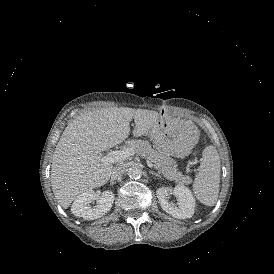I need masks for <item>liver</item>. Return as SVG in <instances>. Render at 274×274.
<instances>
[{
  "label": "liver",
  "instance_id": "obj_1",
  "mask_svg": "<svg viewBox=\"0 0 274 274\" xmlns=\"http://www.w3.org/2000/svg\"><path fill=\"white\" fill-rule=\"evenodd\" d=\"M132 119L133 136L140 137L155 129L160 115L152 110L109 107L82 113L68 124L51 167L52 190L63 208L67 209L77 195L107 183L113 165L102 163L99 153L128 138ZM184 123L193 125L191 121Z\"/></svg>",
  "mask_w": 274,
  "mask_h": 274
}]
</instances>
